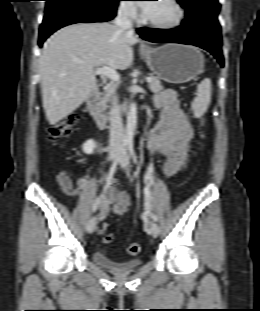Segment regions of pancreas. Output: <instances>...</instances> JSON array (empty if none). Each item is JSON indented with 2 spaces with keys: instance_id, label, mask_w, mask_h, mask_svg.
Wrapping results in <instances>:
<instances>
[{
  "instance_id": "pancreas-1",
  "label": "pancreas",
  "mask_w": 260,
  "mask_h": 311,
  "mask_svg": "<svg viewBox=\"0 0 260 311\" xmlns=\"http://www.w3.org/2000/svg\"><path fill=\"white\" fill-rule=\"evenodd\" d=\"M151 78H152V81L149 83V89L153 93H158L162 91L164 87L161 85L159 78L155 76H151ZM115 88H116V85L113 83L108 84L104 88V93L102 94V97H101V104L103 105V107L105 108L107 107V103L110 101V98L112 94L114 93Z\"/></svg>"
}]
</instances>
